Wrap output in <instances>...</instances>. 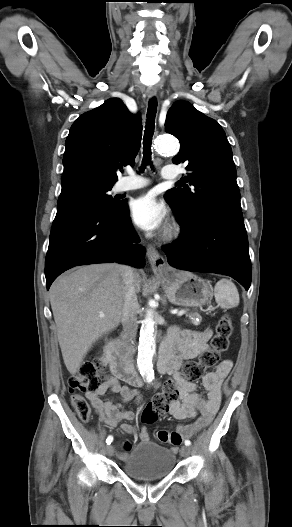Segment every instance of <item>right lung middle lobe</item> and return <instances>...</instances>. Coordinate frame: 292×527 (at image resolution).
Wrapping results in <instances>:
<instances>
[{"label":"right lung middle lobe","mask_w":292,"mask_h":527,"mask_svg":"<svg viewBox=\"0 0 292 527\" xmlns=\"http://www.w3.org/2000/svg\"><path fill=\"white\" fill-rule=\"evenodd\" d=\"M113 184L86 177H76L62 182L58 203L64 200H80L92 203L107 211L119 210L124 202L113 198L108 192Z\"/></svg>","instance_id":"1"}]
</instances>
